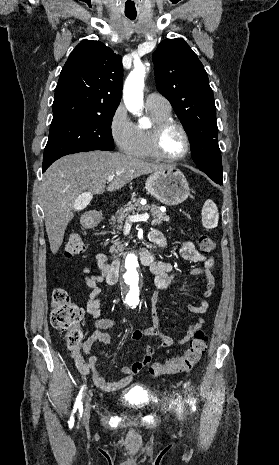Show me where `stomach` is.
Instances as JSON below:
<instances>
[{
    "label": "stomach",
    "mask_w": 279,
    "mask_h": 465,
    "mask_svg": "<svg viewBox=\"0 0 279 465\" xmlns=\"http://www.w3.org/2000/svg\"><path fill=\"white\" fill-rule=\"evenodd\" d=\"M145 188L150 195L168 206L184 202L190 193L187 179L175 167H167L154 172L146 180ZM97 223L96 216H89L83 221L86 227L95 226Z\"/></svg>",
    "instance_id": "0dacf381"
}]
</instances>
